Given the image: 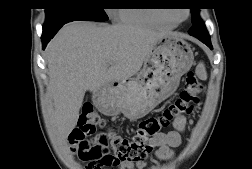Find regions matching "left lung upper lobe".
Returning a JSON list of instances; mask_svg holds the SVG:
<instances>
[{
	"instance_id": "obj_1",
	"label": "left lung upper lobe",
	"mask_w": 252,
	"mask_h": 169,
	"mask_svg": "<svg viewBox=\"0 0 252 169\" xmlns=\"http://www.w3.org/2000/svg\"><path fill=\"white\" fill-rule=\"evenodd\" d=\"M192 14V27L190 31L197 32L198 30H207L204 22L201 20L199 16V9L193 8L191 9ZM208 32V31H207Z\"/></svg>"
}]
</instances>
